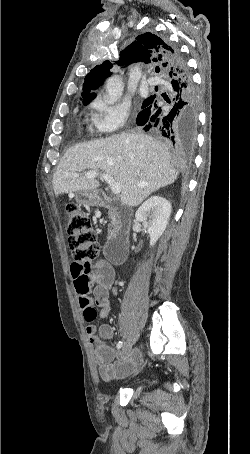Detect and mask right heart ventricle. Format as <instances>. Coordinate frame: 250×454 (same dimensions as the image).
I'll use <instances>...</instances> for the list:
<instances>
[{"label":"right heart ventricle","mask_w":250,"mask_h":454,"mask_svg":"<svg viewBox=\"0 0 250 454\" xmlns=\"http://www.w3.org/2000/svg\"><path fill=\"white\" fill-rule=\"evenodd\" d=\"M93 127H95V125H94V118H93V120H92V124H91L90 127H89V130H90L91 132L94 131ZM95 128H96V127H95Z\"/></svg>","instance_id":"right-heart-ventricle-1"}]
</instances>
